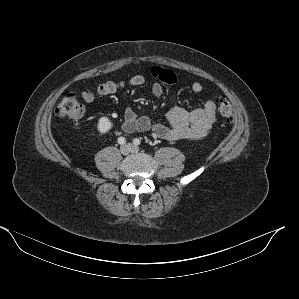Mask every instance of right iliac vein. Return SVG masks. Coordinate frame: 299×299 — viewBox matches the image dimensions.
<instances>
[{"mask_svg": "<svg viewBox=\"0 0 299 299\" xmlns=\"http://www.w3.org/2000/svg\"><path fill=\"white\" fill-rule=\"evenodd\" d=\"M131 151V148L128 145H124L120 148V152L123 155H128Z\"/></svg>", "mask_w": 299, "mask_h": 299, "instance_id": "obj_1", "label": "right iliac vein"}]
</instances>
